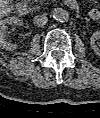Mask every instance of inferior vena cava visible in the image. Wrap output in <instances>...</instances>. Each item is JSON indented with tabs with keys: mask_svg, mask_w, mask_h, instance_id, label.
<instances>
[{
	"mask_svg": "<svg viewBox=\"0 0 100 118\" xmlns=\"http://www.w3.org/2000/svg\"><path fill=\"white\" fill-rule=\"evenodd\" d=\"M48 19L45 15H37L34 17V24L38 27H42L47 23Z\"/></svg>",
	"mask_w": 100,
	"mask_h": 118,
	"instance_id": "obj_1",
	"label": "inferior vena cava"
}]
</instances>
